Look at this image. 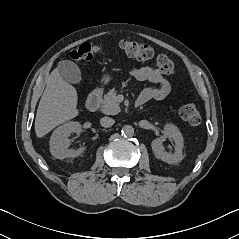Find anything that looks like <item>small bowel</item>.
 <instances>
[{
    "instance_id": "c3829d8e",
    "label": "small bowel",
    "mask_w": 239,
    "mask_h": 239,
    "mask_svg": "<svg viewBox=\"0 0 239 239\" xmlns=\"http://www.w3.org/2000/svg\"><path fill=\"white\" fill-rule=\"evenodd\" d=\"M130 73L138 81H149L155 85L144 88L137 101L144 104L151 99L163 100L169 95L171 85L159 69L150 66L134 67Z\"/></svg>"
}]
</instances>
